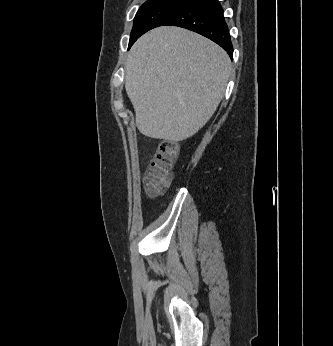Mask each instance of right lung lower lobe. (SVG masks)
Wrapping results in <instances>:
<instances>
[{"instance_id": "obj_1", "label": "right lung lower lobe", "mask_w": 333, "mask_h": 346, "mask_svg": "<svg viewBox=\"0 0 333 346\" xmlns=\"http://www.w3.org/2000/svg\"><path fill=\"white\" fill-rule=\"evenodd\" d=\"M197 32L218 45L233 57L228 26L219 0H186L163 24Z\"/></svg>"}]
</instances>
